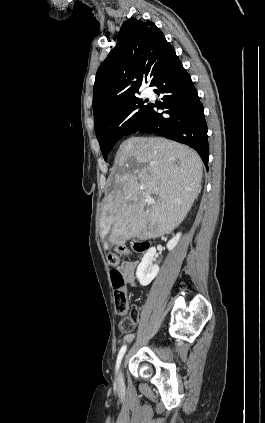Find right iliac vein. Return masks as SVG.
Wrapping results in <instances>:
<instances>
[{"mask_svg":"<svg viewBox=\"0 0 265 423\" xmlns=\"http://www.w3.org/2000/svg\"><path fill=\"white\" fill-rule=\"evenodd\" d=\"M120 376H121V372H119L118 379H120Z\"/></svg>","mask_w":265,"mask_h":423,"instance_id":"1","label":"right iliac vein"}]
</instances>
